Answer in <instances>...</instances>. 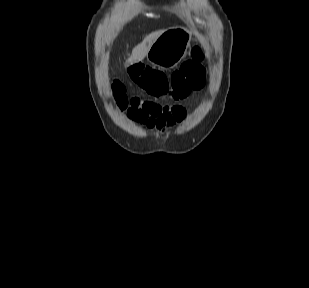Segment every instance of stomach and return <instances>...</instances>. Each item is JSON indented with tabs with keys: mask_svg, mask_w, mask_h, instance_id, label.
Listing matches in <instances>:
<instances>
[{
	"mask_svg": "<svg viewBox=\"0 0 309 288\" xmlns=\"http://www.w3.org/2000/svg\"><path fill=\"white\" fill-rule=\"evenodd\" d=\"M192 34L184 27L164 31L150 47L147 61L161 69L175 67L186 55Z\"/></svg>",
	"mask_w": 309,
	"mask_h": 288,
	"instance_id": "1",
	"label": "stomach"
}]
</instances>
